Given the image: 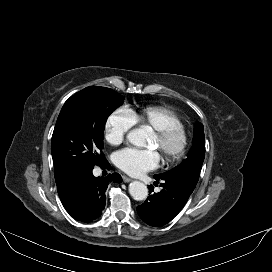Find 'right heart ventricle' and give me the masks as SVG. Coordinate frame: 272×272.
Instances as JSON below:
<instances>
[{
	"mask_svg": "<svg viewBox=\"0 0 272 272\" xmlns=\"http://www.w3.org/2000/svg\"><path fill=\"white\" fill-rule=\"evenodd\" d=\"M134 125L148 127L153 131L170 126L183 125V120L173 111L161 106H146L137 110H127Z\"/></svg>",
	"mask_w": 272,
	"mask_h": 272,
	"instance_id": "1",
	"label": "right heart ventricle"
}]
</instances>
